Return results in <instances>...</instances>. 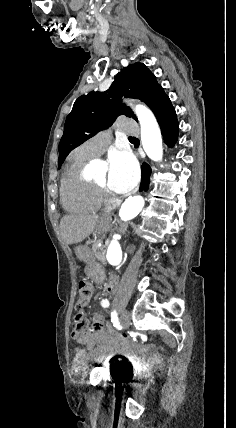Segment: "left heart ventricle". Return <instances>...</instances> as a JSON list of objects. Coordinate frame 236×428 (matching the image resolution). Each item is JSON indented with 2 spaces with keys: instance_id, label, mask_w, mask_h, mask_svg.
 Segmentation results:
<instances>
[{
  "instance_id": "b2bd125f",
  "label": "left heart ventricle",
  "mask_w": 236,
  "mask_h": 428,
  "mask_svg": "<svg viewBox=\"0 0 236 428\" xmlns=\"http://www.w3.org/2000/svg\"><path fill=\"white\" fill-rule=\"evenodd\" d=\"M95 180L99 183L105 184L113 194H115V195L117 194L109 186V171L107 170V168L104 171H102L101 173H99L96 176Z\"/></svg>"
}]
</instances>
